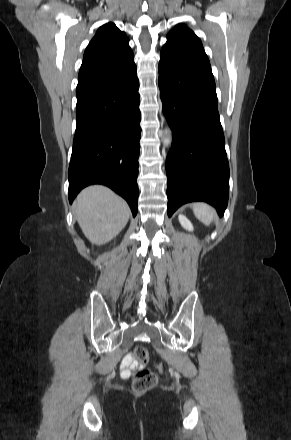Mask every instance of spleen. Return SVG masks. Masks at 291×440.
<instances>
[{
  "label": "spleen",
  "mask_w": 291,
  "mask_h": 440,
  "mask_svg": "<svg viewBox=\"0 0 291 440\" xmlns=\"http://www.w3.org/2000/svg\"><path fill=\"white\" fill-rule=\"evenodd\" d=\"M195 216L205 225H210L215 216V210L206 203H195L193 205Z\"/></svg>",
  "instance_id": "3e777b00"
}]
</instances>
